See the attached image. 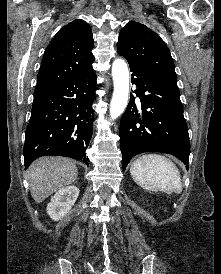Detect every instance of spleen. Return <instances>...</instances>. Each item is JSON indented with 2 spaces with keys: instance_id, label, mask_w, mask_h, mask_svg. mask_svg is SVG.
I'll list each match as a JSON object with an SVG mask.
<instances>
[{
  "instance_id": "spleen-1",
  "label": "spleen",
  "mask_w": 221,
  "mask_h": 274,
  "mask_svg": "<svg viewBox=\"0 0 221 274\" xmlns=\"http://www.w3.org/2000/svg\"><path fill=\"white\" fill-rule=\"evenodd\" d=\"M130 174L137 185L146 191L168 194L182 192L181 176L176 165L159 154H146L136 159Z\"/></svg>"
}]
</instances>
